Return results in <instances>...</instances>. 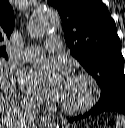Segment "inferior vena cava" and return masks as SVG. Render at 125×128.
Returning <instances> with one entry per match:
<instances>
[{
  "label": "inferior vena cava",
  "instance_id": "1",
  "mask_svg": "<svg viewBox=\"0 0 125 128\" xmlns=\"http://www.w3.org/2000/svg\"><path fill=\"white\" fill-rule=\"evenodd\" d=\"M37 112V105L33 102H26L22 106V111H20L19 114V122L20 126L19 128H27V125H29L33 119L36 116Z\"/></svg>",
  "mask_w": 125,
  "mask_h": 128
}]
</instances>
